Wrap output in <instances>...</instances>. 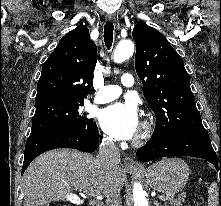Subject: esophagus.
<instances>
[{"label": "esophagus", "mask_w": 221, "mask_h": 206, "mask_svg": "<svg viewBox=\"0 0 221 206\" xmlns=\"http://www.w3.org/2000/svg\"><path fill=\"white\" fill-rule=\"evenodd\" d=\"M106 19L109 21H114L115 17L113 15H107ZM124 167L126 170H138L141 169V164L134 161L132 158L130 157H125L124 158Z\"/></svg>", "instance_id": "1"}]
</instances>
